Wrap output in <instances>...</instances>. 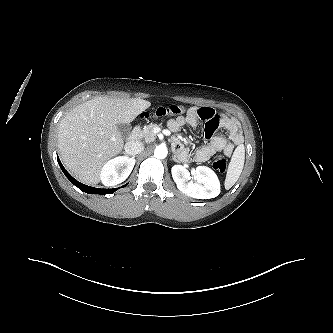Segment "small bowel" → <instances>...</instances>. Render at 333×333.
I'll list each match as a JSON object with an SVG mask.
<instances>
[{
  "instance_id": "c3829d8e",
  "label": "small bowel",
  "mask_w": 333,
  "mask_h": 333,
  "mask_svg": "<svg viewBox=\"0 0 333 333\" xmlns=\"http://www.w3.org/2000/svg\"><path fill=\"white\" fill-rule=\"evenodd\" d=\"M200 120L205 122L204 137L207 144L193 152V158L196 161H207L219 152L231 156L234 149L242 144L243 135L238 122L228 115L216 112L211 107H191L185 116L170 119L168 127L171 131L176 132L186 124L195 127ZM218 128H224L228 132V137L214 135ZM173 146L180 152L183 159L190 157V150L182 145L180 139L176 138Z\"/></svg>"
}]
</instances>
